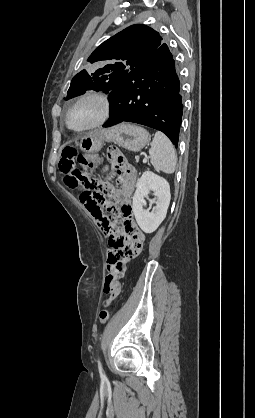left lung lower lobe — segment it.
<instances>
[{"label":"left lung lower lobe","instance_id":"left-lung-lower-lobe-1","mask_svg":"<svg viewBox=\"0 0 255 418\" xmlns=\"http://www.w3.org/2000/svg\"><path fill=\"white\" fill-rule=\"evenodd\" d=\"M110 118L142 124L165 133L177 147L183 114L181 86L173 56L165 44L132 69L109 94Z\"/></svg>","mask_w":255,"mask_h":418}]
</instances>
